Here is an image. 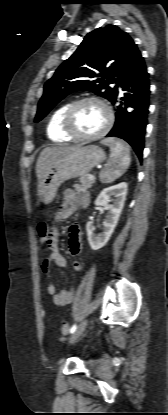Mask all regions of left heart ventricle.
Here are the masks:
<instances>
[{
  "mask_svg": "<svg viewBox=\"0 0 168 415\" xmlns=\"http://www.w3.org/2000/svg\"><path fill=\"white\" fill-rule=\"evenodd\" d=\"M106 118V112L99 104L85 103L76 110L73 126L81 135H93L104 127Z\"/></svg>",
  "mask_w": 168,
  "mask_h": 415,
  "instance_id": "1",
  "label": "left heart ventricle"
}]
</instances>
